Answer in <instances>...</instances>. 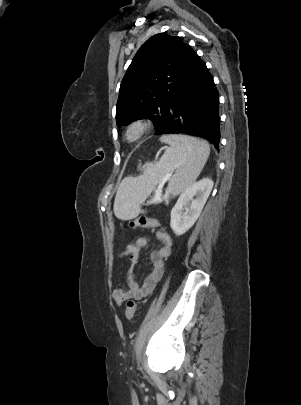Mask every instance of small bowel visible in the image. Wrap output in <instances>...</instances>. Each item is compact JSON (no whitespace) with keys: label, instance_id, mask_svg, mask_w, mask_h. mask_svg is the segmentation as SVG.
<instances>
[{"label":"small bowel","instance_id":"obj_1","mask_svg":"<svg viewBox=\"0 0 301 405\" xmlns=\"http://www.w3.org/2000/svg\"><path fill=\"white\" fill-rule=\"evenodd\" d=\"M156 237L160 241L161 247L151 252V268L142 282H138L135 278V267L139 262L141 251L148 245V239L139 237L134 243L128 244L121 252L122 257L129 259L131 266L127 273L126 286L119 287L114 291L113 297L118 305L128 299H143L153 291L162 277L164 259L171 254L173 243L170 235L162 229L156 230Z\"/></svg>","mask_w":301,"mask_h":405}]
</instances>
